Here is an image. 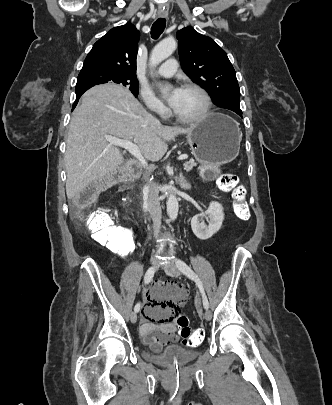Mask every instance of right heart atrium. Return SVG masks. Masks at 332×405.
I'll use <instances>...</instances> for the list:
<instances>
[{
    "instance_id": "right-heart-atrium-1",
    "label": "right heart atrium",
    "mask_w": 332,
    "mask_h": 405,
    "mask_svg": "<svg viewBox=\"0 0 332 405\" xmlns=\"http://www.w3.org/2000/svg\"><path fill=\"white\" fill-rule=\"evenodd\" d=\"M139 96L147 110L159 116L167 115L168 110L166 106L155 96L151 89L141 87L139 90Z\"/></svg>"
}]
</instances>
